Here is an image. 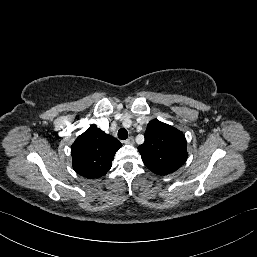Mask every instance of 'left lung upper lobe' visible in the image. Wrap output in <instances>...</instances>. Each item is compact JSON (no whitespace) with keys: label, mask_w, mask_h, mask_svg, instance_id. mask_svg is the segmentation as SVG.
<instances>
[{"label":"left lung upper lobe","mask_w":257,"mask_h":257,"mask_svg":"<svg viewBox=\"0 0 257 257\" xmlns=\"http://www.w3.org/2000/svg\"><path fill=\"white\" fill-rule=\"evenodd\" d=\"M144 137L138 150L144 164L155 174H170L185 163L187 142L178 129L155 119L148 123Z\"/></svg>","instance_id":"left-lung-upper-lobe-1"}]
</instances>
